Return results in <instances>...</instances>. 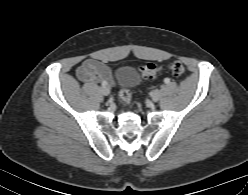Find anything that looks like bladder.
<instances>
[{"label":"bladder","mask_w":248,"mask_h":195,"mask_svg":"<svg viewBox=\"0 0 248 195\" xmlns=\"http://www.w3.org/2000/svg\"><path fill=\"white\" fill-rule=\"evenodd\" d=\"M139 81L137 71L132 66H123L119 68L117 74V84L120 87L132 88Z\"/></svg>","instance_id":"31cf9c89"}]
</instances>
